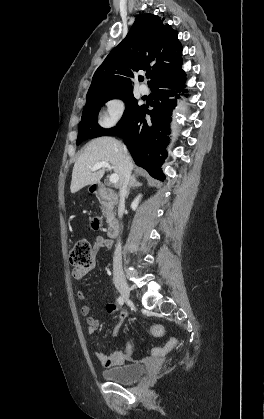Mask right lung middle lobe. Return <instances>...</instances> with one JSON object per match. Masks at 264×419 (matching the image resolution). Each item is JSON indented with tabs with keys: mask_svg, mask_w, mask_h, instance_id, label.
<instances>
[{
	"mask_svg": "<svg viewBox=\"0 0 264 419\" xmlns=\"http://www.w3.org/2000/svg\"><path fill=\"white\" fill-rule=\"evenodd\" d=\"M115 98L122 99L126 103V110L117 126L139 107L133 96L132 90L87 97L82 119L79 125L77 145L86 139L103 136L114 129H104L99 126L97 116L101 106L108 100Z\"/></svg>",
	"mask_w": 264,
	"mask_h": 419,
	"instance_id": "right-lung-middle-lobe-1",
	"label": "right lung middle lobe"
}]
</instances>
